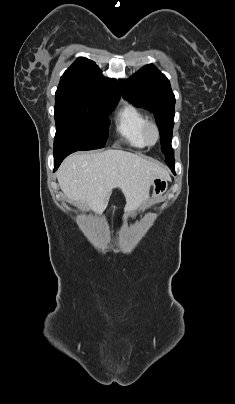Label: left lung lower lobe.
Here are the masks:
<instances>
[{"label":"left lung lower lobe","instance_id":"1","mask_svg":"<svg viewBox=\"0 0 235 404\" xmlns=\"http://www.w3.org/2000/svg\"><path fill=\"white\" fill-rule=\"evenodd\" d=\"M167 165L169 166V168L171 169V171L176 175L174 163H167Z\"/></svg>","mask_w":235,"mask_h":404}]
</instances>
